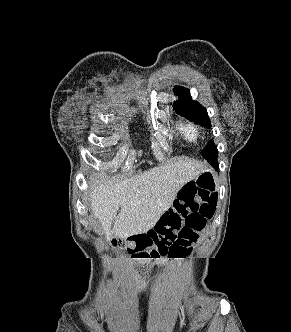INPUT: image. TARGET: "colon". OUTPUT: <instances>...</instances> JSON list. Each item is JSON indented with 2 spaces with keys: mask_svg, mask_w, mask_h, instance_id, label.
<instances>
[{
  "mask_svg": "<svg viewBox=\"0 0 291 332\" xmlns=\"http://www.w3.org/2000/svg\"><path fill=\"white\" fill-rule=\"evenodd\" d=\"M216 206L217 196L207 190L181 191L172 209L153 229L114 244L127 249L133 258H184L214 216Z\"/></svg>",
  "mask_w": 291,
  "mask_h": 332,
  "instance_id": "obj_1",
  "label": "colon"
}]
</instances>
